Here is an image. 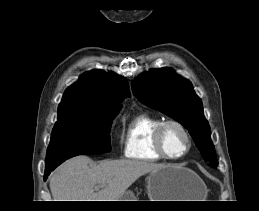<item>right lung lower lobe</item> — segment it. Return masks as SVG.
Returning a JSON list of instances; mask_svg holds the SVG:
<instances>
[{
	"label": "right lung lower lobe",
	"instance_id": "obj_1",
	"mask_svg": "<svg viewBox=\"0 0 259 211\" xmlns=\"http://www.w3.org/2000/svg\"><path fill=\"white\" fill-rule=\"evenodd\" d=\"M55 167H57V166H52V167L46 168V170H45V175H44V179H45V180L47 179V177L49 176V174L51 173V171H52Z\"/></svg>",
	"mask_w": 259,
	"mask_h": 211
}]
</instances>
